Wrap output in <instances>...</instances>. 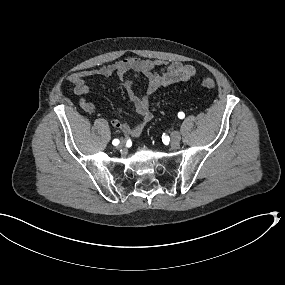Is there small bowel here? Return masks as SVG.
Instances as JSON below:
<instances>
[{"label":"small bowel","mask_w":285,"mask_h":285,"mask_svg":"<svg viewBox=\"0 0 285 285\" xmlns=\"http://www.w3.org/2000/svg\"><path fill=\"white\" fill-rule=\"evenodd\" d=\"M129 73H134L135 75L142 74L147 78L148 84L144 94H137L133 90V81L129 77ZM195 74L196 70L192 65L166 60L131 57L97 69L73 73L68 79L73 85V93L79 98V104L82 109L88 113H95L97 111L95 105L84 98V95L89 92V85L86 79L117 76L125 88L136 113L139 115V120L136 124L129 125L119 119H113L111 124L128 137H138L153 117L150 110L149 97L161 87L188 81Z\"/></svg>","instance_id":"obj_1"}]
</instances>
